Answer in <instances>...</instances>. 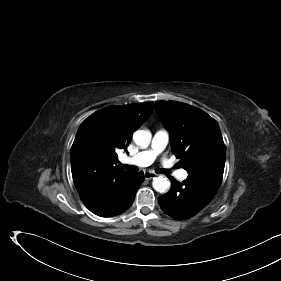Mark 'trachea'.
<instances>
[{"mask_svg":"<svg viewBox=\"0 0 281 281\" xmlns=\"http://www.w3.org/2000/svg\"><path fill=\"white\" fill-rule=\"evenodd\" d=\"M119 165H120V167H122V168H124V169H126L127 171H130V172H136V171L139 170L138 167H136V166L124 165V164H119ZM156 172L158 174H168L169 173V171L167 169H163V168L157 169Z\"/></svg>","mask_w":281,"mask_h":281,"instance_id":"1","label":"trachea"}]
</instances>
